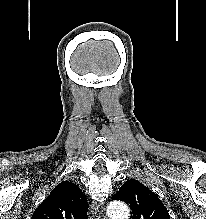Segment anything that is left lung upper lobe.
Wrapping results in <instances>:
<instances>
[{
	"mask_svg": "<svg viewBox=\"0 0 206 219\" xmlns=\"http://www.w3.org/2000/svg\"><path fill=\"white\" fill-rule=\"evenodd\" d=\"M113 198L130 205L133 219H170L158 196L135 179L126 181Z\"/></svg>",
	"mask_w": 206,
	"mask_h": 219,
	"instance_id": "1",
	"label": "left lung upper lobe"
}]
</instances>
